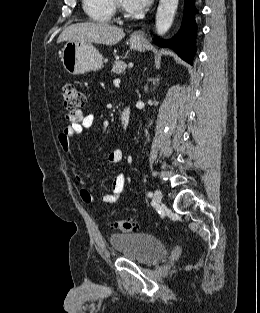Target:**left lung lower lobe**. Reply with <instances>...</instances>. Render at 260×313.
Listing matches in <instances>:
<instances>
[{
  "label": "left lung lower lobe",
  "mask_w": 260,
  "mask_h": 313,
  "mask_svg": "<svg viewBox=\"0 0 260 313\" xmlns=\"http://www.w3.org/2000/svg\"><path fill=\"white\" fill-rule=\"evenodd\" d=\"M197 12L194 0H185L184 17L182 27L178 34L169 41L154 39V43L172 48L182 59L192 63L193 56L196 52L195 38L197 34V25L194 15Z\"/></svg>",
  "instance_id": "left-lung-lower-lobe-1"
}]
</instances>
